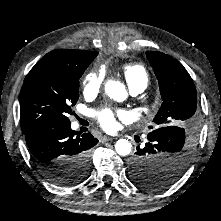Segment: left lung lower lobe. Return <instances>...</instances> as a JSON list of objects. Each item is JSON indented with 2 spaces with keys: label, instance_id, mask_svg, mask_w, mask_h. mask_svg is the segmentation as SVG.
<instances>
[{
  "label": "left lung lower lobe",
  "instance_id": "left-lung-lower-lobe-1",
  "mask_svg": "<svg viewBox=\"0 0 221 221\" xmlns=\"http://www.w3.org/2000/svg\"><path fill=\"white\" fill-rule=\"evenodd\" d=\"M169 132L168 130H163L156 134L157 138L150 137L149 142H154L156 140L163 139L167 136H175L179 134H174L175 131H172L170 134H167ZM177 138V137H175ZM143 153V148L137 147V151L135 152V155L132 157V159L129 162V170H130V176L132 174H137L139 176L145 175L148 178V182L151 186H156L161 182L160 180L164 178H168L167 176H164L158 172H149V168L147 167L148 164L145 163L144 159H142L141 154Z\"/></svg>",
  "mask_w": 221,
  "mask_h": 221
}]
</instances>
